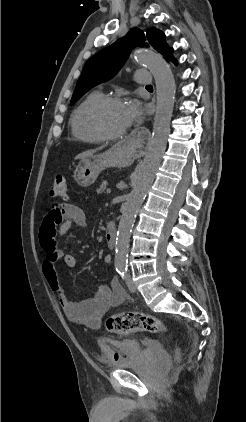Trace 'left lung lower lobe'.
Returning <instances> with one entry per match:
<instances>
[{"mask_svg": "<svg viewBox=\"0 0 246 422\" xmlns=\"http://www.w3.org/2000/svg\"><path fill=\"white\" fill-rule=\"evenodd\" d=\"M168 59L171 60L175 65L177 64V61L176 59L173 58L172 54L170 55Z\"/></svg>", "mask_w": 246, "mask_h": 422, "instance_id": "left-lung-lower-lobe-1", "label": "left lung lower lobe"}]
</instances>
